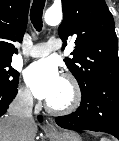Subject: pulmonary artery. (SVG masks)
Returning <instances> with one entry per match:
<instances>
[{
    "label": "pulmonary artery",
    "mask_w": 119,
    "mask_h": 141,
    "mask_svg": "<svg viewBox=\"0 0 119 141\" xmlns=\"http://www.w3.org/2000/svg\"><path fill=\"white\" fill-rule=\"evenodd\" d=\"M60 48L61 42L57 38L52 37L47 42L39 43L29 48L28 55L34 58L42 57Z\"/></svg>",
    "instance_id": "e3ab8cb5"
}]
</instances>
